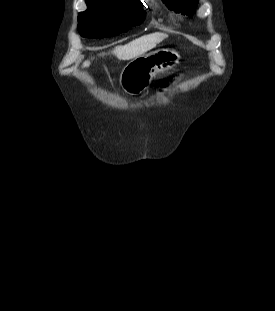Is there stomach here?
I'll use <instances>...</instances> for the list:
<instances>
[{"instance_id":"0dacf381","label":"stomach","mask_w":275,"mask_h":311,"mask_svg":"<svg viewBox=\"0 0 275 311\" xmlns=\"http://www.w3.org/2000/svg\"><path fill=\"white\" fill-rule=\"evenodd\" d=\"M180 54L174 49H159L133 59L120 74V87L130 95L142 93L158 72L176 67Z\"/></svg>"}]
</instances>
